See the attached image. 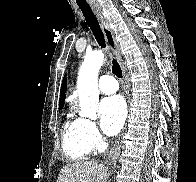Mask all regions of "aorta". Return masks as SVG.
<instances>
[{"mask_svg": "<svg viewBox=\"0 0 196 182\" xmlns=\"http://www.w3.org/2000/svg\"><path fill=\"white\" fill-rule=\"evenodd\" d=\"M104 62L102 51L88 53L80 67L77 91L79 96L81 117L91 120L97 118V107L99 101L98 73Z\"/></svg>", "mask_w": 196, "mask_h": 182, "instance_id": "aorta-1", "label": "aorta"}]
</instances>
